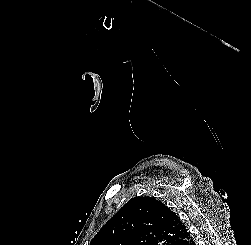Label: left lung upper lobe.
Returning <instances> with one entry per match:
<instances>
[{
	"label": "left lung upper lobe",
	"instance_id": "left-lung-upper-lobe-1",
	"mask_svg": "<svg viewBox=\"0 0 251 245\" xmlns=\"http://www.w3.org/2000/svg\"><path fill=\"white\" fill-rule=\"evenodd\" d=\"M186 226L151 197L131 198L95 235L90 245H172Z\"/></svg>",
	"mask_w": 251,
	"mask_h": 245
}]
</instances>
